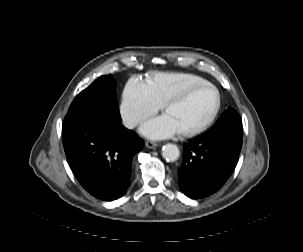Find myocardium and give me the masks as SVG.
Masks as SVG:
<instances>
[{"label":"myocardium","instance_id":"f54148a6","mask_svg":"<svg viewBox=\"0 0 303 252\" xmlns=\"http://www.w3.org/2000/svg\"><path fill=\"white\" fill-rule=\"evenodd\" d=\"M201 87H209L210 89L213 90V92L215 94V105H214V108H213L210 116L208 117V119L203 124H201V125H199L197 127H194V128L180 130L179 131L180 134L182 136H184V137L193 136L195 134L203 132V131H205L206 129H208L212 125V123L214 122V120H215V118H216V116H217V114L219 112L220 105H221V97H220L218 89L211 82L204 81V82H201L200 84L196 85L192 89L188 90L182 96H180L178 98L171 99V100L167 101L163 105V111L166 112L172 105L179 104V103L185 101L187 99V97L192 92H194L195 90H197V89H199Z\"/></svg>","mask_w":303,"mask_h":252}]
</instances>
